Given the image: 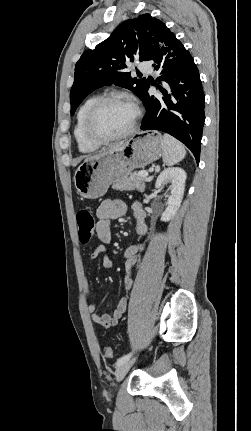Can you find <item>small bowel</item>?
Masks as SVG:
<instances>
[{
	"label": "small bowel",
	"instance_id": "c3829d8e",
	"mask_svg": "<svg viewBox=\"0 0 251 431\" xmlns=\"http://www.w3.org/2000/svg\"><path fill=\"white\" fill-rule=\"evenodd\" d=\"M127 212V206L126 204L121 200H104L101 202V204L98 206L96 210V216H97V224H96V234L98 239L101 241V244L97 245L93 252L90 255V259L96 260L97 258H102V265L106 269H111L113 266L112 261L108 257L107 251V245L111 243L112 241V233L110 229V220H115L123 217ZM134 213L135 217L137 218V233L139 235H145L147 232V226L144 222L145 218V212L141 208L139 204L134 205ZM143 250V246L140 244L131 245L127 248L125 251V280L124 285L126 289H130L132 286V279L130 277L132 267L138 260V254L140 251ZM85 293L87 297V309L91 315L92 321L99 326H102L104 328H110L115 326L118 323V320L123 315L126 306H127V299L125 297L121 298L115 309L112 311L111 314L108 313H98L97 312V304L94 302V300L90 297V290H89V284L88 280L86 278L85 280Z\"/></svg>",
	"mask_w": 251,
	"mask_h": 431
}]
</instances>
